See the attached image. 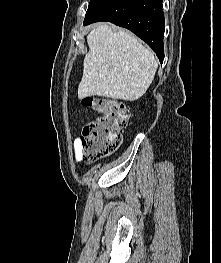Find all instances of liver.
Instances as JSON below:
<instances>
[{
	"mask_svg": "<svg viewBox=\"0 0 221 263\" xmlns=\"http://www.w3.org/2000/svg\"><path fill=\"white\" fill-rule=\"evenodd\" d=\"M78 97L102 96L134 101L152 83L158 64L154 53L129 32L109 24L96 25L87 36Z\"/></svg>",
	"mask_w": 221,
	"mask_h": 263,
	"instance_id": "liver-1",
	"label": "liver"
}]
</instances>
